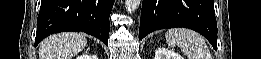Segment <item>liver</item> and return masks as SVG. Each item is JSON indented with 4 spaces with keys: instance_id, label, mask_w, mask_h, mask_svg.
I'll return each instance as SVG.
<instances>
[{
    "instance_id": "obj_1",
    "label": "liver",
    "mask_w": 261,
    "mask_h": 59,
    "mask_svg": "<svg viewBox=\"0 0 261 59\" xmlns=\"http://www.w3.org/2000/svg\"><path fill=\"white\" fill-rule=\"evenodd\" d=\"M87 39L80 33H59L39 44V59H72L86 46Z\"/></svg>"
}]
</instances>
